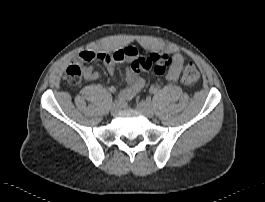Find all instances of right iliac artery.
Returning <instances> with one entry per match:
<instances>
[{
  "instance_id": "obj_1",
  "label": "right iliac artery",
  "mask_w": 265,
  "mask_h": 202,
  "mask_svg": "<svg viewBox=\"0 0 265 202\" xmlns=\"http://www.w3.org/2000/svg\"><path fill=\"white\" fill-rule=\"evenodd\" d=\"M123 98L121 96H118L116 99H115V102L121 104L123 102Z\"/></svg>"
}]
</instances>
